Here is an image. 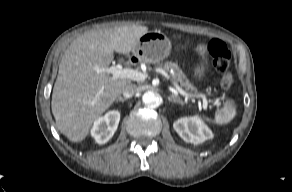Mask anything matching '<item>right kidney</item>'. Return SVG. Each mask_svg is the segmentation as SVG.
<instances>
[{"mask_svg": "<svg viewBox=\"0 0 292 192\" xmlns=\"http://www.w3.org/2000/svg\"><path fill=\"white\" fill-rule=\"evenodd\" d=\"M119 121L120 113L115 110L109 111L94 122V126L91 130L92 137L98 144L107 143L117 130Z\"/></svg>", "mask_w": 292, "mask_h": 192, "instance_id": "1", "label": "right kidney"}]
</instances>
